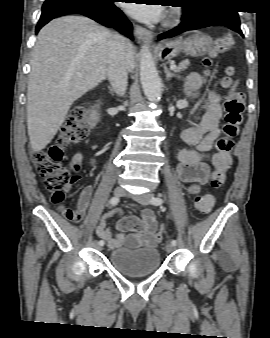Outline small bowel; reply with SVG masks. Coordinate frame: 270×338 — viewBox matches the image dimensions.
<instances>
[{"label": "small bowel", "mask_w": 270, "mask_h": 338, "mask_svg": "<svg viewBox=\"0 0 270 338\" xmlns=\"http://www.w3.org/2000/svg\"><path fill=\"white\" fill-rule=\"evenodd\" d=\"M205 84V79L199 74H191L186 83L188 95L197 96V91ZM222 116L220 97L214 92H210L206 98L204 113L195 126L185 129L181 134V139L195 145L196 149H181L178 153L179 165L177 173L180 179L186 183H194L188 188L189 193L197 194L200 191L199 184H203L208 179L209 166L206 162V152H208L214 141L220 135L219 121ZM73 166L78 169L82 160L79 153H74L71 157ZM92 164H96L95 159H91ZM93 188L84 187L78 196L80 211H77V221H83L91 214ZM113 213H108L103 217L96 227L97 234L106 240L111 246L134 247L137 243L148 247L155 246L161 240V232L157 231V221L152 210H145L142 218L130 217L132 221L140 224L137 229H127L123 224H118L116 234L111 232L108 219ZM163 227H161V231Z\"/></svg>", "instance_id": "small-bowel-1"}]
</instances>
